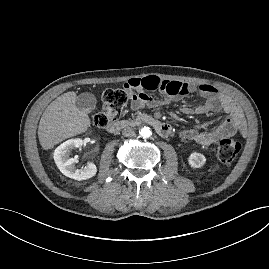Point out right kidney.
I'll use <instances>...</instances> for the list:
<instances>
[{
  "label": "right kidney",
  "mask_w": 269,
  "mask_h": 269,
  "mask_svg": "<svg viewBox=\"0 0 269 269\" xmlns=\"http://www.w3.org/2000/svg\"><path fill=\"white\" fill-rule=\"evenodd\" d=\"M85 145L84 140L80 138L70 139L58 146L54 152V161L59 170L67 177L75 180H86L95 176L97 172L94 163H87L80 169L75 167L77 158H70V152L74 148H80Z\"/></svg>",
  "instance_id": "1"
}]
</instances>
